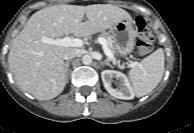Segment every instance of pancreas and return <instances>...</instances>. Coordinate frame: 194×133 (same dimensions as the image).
Returning a JSON list of instances; mask_svg holds the SVG:
<instances>
[{
    "label": "pancreas",
    "mask_w": 194,
    "mask_h": 133,
    "mask_svg": "<svg viewBox=\"0 0 194 133\" xmlns=\"http://www.w3.org/2000/svg\"><path fill=\"white\" fill-rule=\"evenodd\" d=\"M101 36L106 39V41L108 43V48L110 49V51L112 52V54H114L115 53V47L113 45V39H112V37L109 34L105 33V32L102 33Z\"/></svg>",
    "instance_id": "cf45deb5"
}]
</instances>
